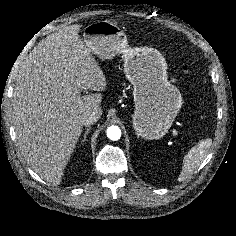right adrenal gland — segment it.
Listing matches in <instances>:
<instances>
[{
	"instance_id": "right-adrenal-gland-1",
	"label": "right adrenal gland",
	"mask_w": 236,
	"mask_h": 236,
	"mask_svg": "<svg viewBox=\"0 0 236 236\" xmlns=\"http://www.w3.org/2000/svg\"><path fill=\"white\" fill-rule=\"evenodd\" d=\"M89 132H90V128H87L85 133H84L83 139L81 140L82 144L86 141V138H87V135H88Z\"/></svg>"
}]
</instances>
